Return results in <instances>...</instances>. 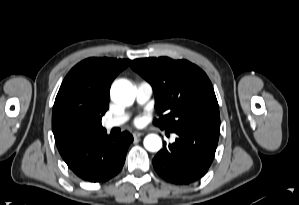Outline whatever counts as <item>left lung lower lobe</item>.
<instances>
[{
	"instance_id": "left-lung-lower-lobe-1",
	"label": "left lung lower lobe",
	"mask_w": 299,
	"mask_h": 205,
	"mask_svg": "<svg viewBox=\"0 0 299 205\" xmlns=\"http://www.w3.org/2000/svg\"><path fill=\"white\" fill-rule=\"evenodd\" d=\"M220 125L177 129L175 143H164L153 159L156 172L167 182L187 185L203 177L215 155Z\"/></svg>"
}]
</instances>
